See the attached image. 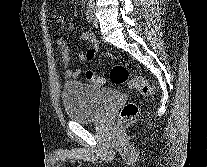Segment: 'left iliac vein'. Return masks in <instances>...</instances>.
Returning a JSON list of instances; mask_svg holds the SVG:
<instances>
[{"label":"left iliac vein","mask_w":207,"mask_h":167,"mask_svg":"<svg viewBox=\"0 0 207 167\" xmlns=\"http://www.w3.org/2000/svg\"><path fill=\"white\" fill-rule=\"evenodd\" d=\"M93 24L95 25V26H97V19H96V17L93 15Z\"/></svg>","instance_id":"obj_1"}]
</instances>
